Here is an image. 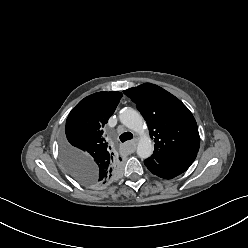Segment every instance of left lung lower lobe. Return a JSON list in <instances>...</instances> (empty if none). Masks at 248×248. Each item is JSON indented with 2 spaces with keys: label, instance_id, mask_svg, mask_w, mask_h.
Segmentation results:
<instances>
[{
  "label": "left lung lower lobe",
  "instance_id": "0a47b994",
  "mask_svg": "<svg viewBox=\"0 0 248 248\" xmlns=\"http://www.w3.org/2000/svg\"><path fill=\"white\" fill-rule=\"evenodd\" d=\"M144 164L153 174L164 179H172L185 172L191 166L192 162L159 164L156 161L148 158L144 161Z\"/></svg>",
  "mask_w": 248,
  "mask_h": 248
}]
</instances>
